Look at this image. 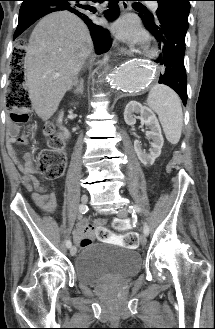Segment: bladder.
<instances>
[{"label":"bladder","instance_id":"obj_1","mask_svg":"<svg viewBox=\"0 0 215 329\" xmlns=\"http://www.w3.org/2000/svg\"><path fill=\"white\" fill-rule=\"evenodd\" d=\"M139 254L126 247L97 243L83 247L74 264L77 280L96 285L108 278H127L140 270Z\"/></svg>","mask_w":215,"mask_h":329}]
</instances>
